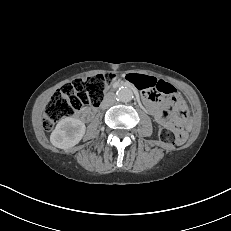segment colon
I'll use <instances>...</instances> for the list:
<instances>
[{
	"mask_svg": "<svg viewBox=\"0 0 231 231\" xmlns=\"http://www.w3.org/2000/svg\"><path fill=\"white\" fill-rule=\"evenodd\" d=\"M116 76L113 73H100L86 78H77L63 85L47 103L43 127L50 130L63 118L71 117L86 106L96 107L103 99L104 93L113 84ZM143 89V87H140ZM151 95H170L176 92L175 88L165 81H161L150 91ZM175 120L172 125H165L160 129V138L163 142L174 144L183 142L187 133L180 126L187 118L184 106H177L174 111Z\"/></svg>",
	"mask_w": 231,
	"mask_h": 231,
	"instance_id": "obj_1",
	"label": "colon"
}]
</instances>
